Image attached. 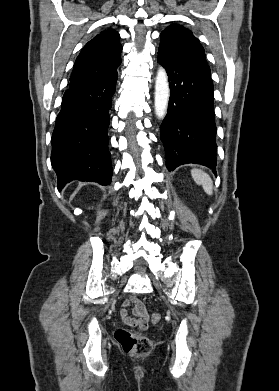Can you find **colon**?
Wrapping results in <instances>:
<instances>
[{
  "mask_svg": "<svg viewBox=\"0 0 279 391\" xmlns=\"http://www.w3.org/2000/svg\"><path fill=\"white\" fill-rule=\"evenodd\" d=\"M160 319L159 314H153L151 317L153 323H158ZM115 339L125 352L136 356H147L152 350V343L147 337L126 329H118Z\"/></svg>",
  "mask_w": 279,
  "mask_h": 391,
  "instance_id": "1",
  "label": "colon"
}]
</instances>
